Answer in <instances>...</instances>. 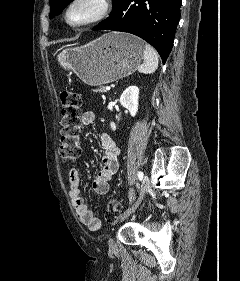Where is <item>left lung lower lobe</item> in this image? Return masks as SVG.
I'll use <instances>...</instances> for the list:
<instances>
[{
    "instance_id": "left-lung-lower-lobe-1",
    "label": "left lung lower lobe",
    "mask_w": 240,
    "mask_h": 281,
    "mask_svg": "<svg viewBox=\"0 0 240 281\" xmlns=\"http://www.w3.org/2000/svg\"><path fill=\"white\" fill-rule=\"evenodd\" d=\"M182 0H117L112 14L92 30L129 32L150 43L163 63L168 58L180 19Z\"/></svg>"
}]
</instances>
